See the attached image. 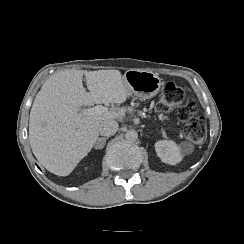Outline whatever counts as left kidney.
I'll return each mask as SVG.
<instances>
[{"label":"left kidney","mask_w":244,"mask_h":244,"mask_svg":"<svg viewBox=\"0 0 244 244\" xmlns=\"http://www.w3.org/2000/svg\"><path fill=\"white\" fill-rule=\"evenodd\" d=\"M157 156L168 164H175L182 159L177 147L171 141H159L155 144Z\"/></svg>","instance_id":"obj_1"}]
</instances>
